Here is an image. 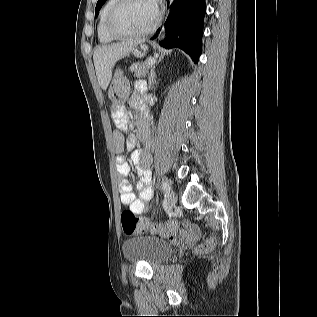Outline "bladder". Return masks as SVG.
<instances>
[{"mask_svg": "<svg viewBox=\"0 0 317 317\" xmlns=\"http://www.w3.org/2000/svg\"><path fill=\"white\" fill-rule=\"evenodd\" d=\"M123 253L130 261L157 264L171 257L173 247L164 239L149 235H139L124 241Z\"/></svg>", "mask_w": 317, "mask_h": 317, "instance_id": "obj_1", "label": "bladder"}]
</instances>
